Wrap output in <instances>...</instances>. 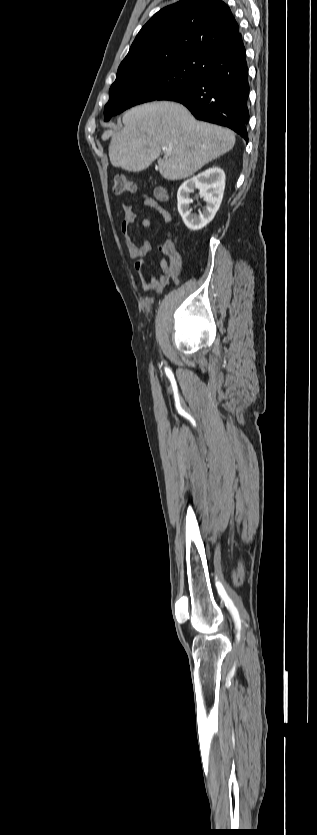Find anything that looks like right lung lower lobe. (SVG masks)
Listing matches in <instances>:
<instances>
[{
    "mask_svg": "<svg viewBox=\"0 0 317 835\" xmlns=\"http://www.w3.org/2000/svg\"><path fill=\"white\" fill-rule=\"evenodd\" d=\"M195 57L202 66L201 78L158 100L182 103L198 120L226 126L248 142V67L241 34Z\"/></svg>",
    "mask_w": 317,
    "mask_h": 835,
    "instance_id": "98d812e1",
    "label": "right lung lower lobe"
}]
</instances>
